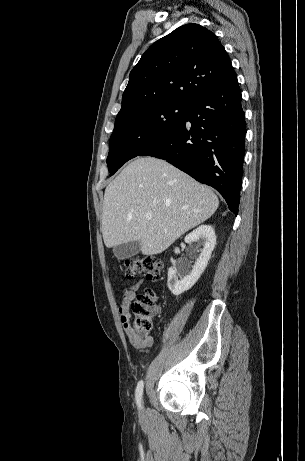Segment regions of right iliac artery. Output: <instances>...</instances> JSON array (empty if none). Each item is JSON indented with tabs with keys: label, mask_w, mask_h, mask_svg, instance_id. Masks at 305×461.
<instances>
[{
	"label": "right iliac artery",
	"mask_w": 305,
	"mask_h": 461,
	"mask_svg": "<svg viewBox=\"0 0 305 461\" xmlns=\"http://www.w3.org/2000/svg\"><path fill=\"white\" fill-rule=\"evenodd\" d=\"M143 387L144 383L143 381H139L136 387V392H135V397H136V403L139 408H142V394H143Z\"/></svg>",
	"instance_id": "obj_1"
}]
</instances>
